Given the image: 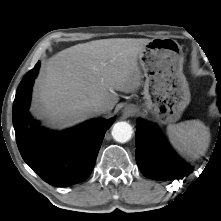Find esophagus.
Returning <instances> with one entry per match:
<instances>
[{
    "mask_svg": "<svg viewBox=\"0 0 221 221\" xmlns=\"http://www.w3.org/2000/svg\"><path fill=\"white\" fill-rule=\"evenodd\" d=\"M133 114H134V111L131 110V109L125 108V109L123 110V116H124V117H130V116H132Z\"/></svg>",
    "mask_w": 221,
    "mask_h": 221,
    "instance_id": "obj_1",
    "label": "esophagus"
}]
</instances>
